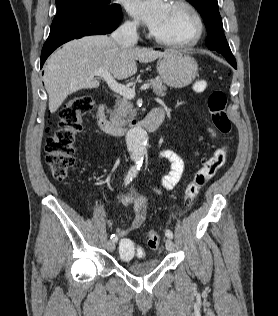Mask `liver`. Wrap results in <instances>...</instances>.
<instances>
[{"label": "liver", "mask_w": 278, "mask_h": 316, "mask_svg": "<svg viewBox=\"0 0 278 316\" xmlns=\"http://www.w3.org/2000/svg\"><path fill=\"white\" fill-rule=\"evenodd\" d=\"M164 54L144 47L122 46L107 35L70 41L50 57L44 69L49 110L54 113L76 91L97 88L96 70H106L122 80L137 72L136 61L148 63Z\"/></svg>", "instance_id": "6515ba94"}]
</instances>
